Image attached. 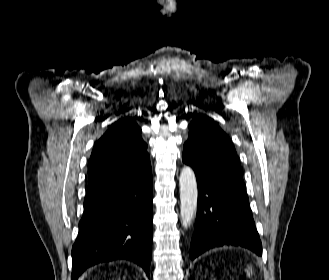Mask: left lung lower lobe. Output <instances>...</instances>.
<instances>
[{"label":"left lung lower lobe","instance_id":"left-lung-lower-lobe-1","mask_svg":"<svg viewBox=\"0 0 329 280\" xmlns=\"http://www.w3.org/2000/svg\"><path fill=\"white\" fill-rule=\"evenodd\" d=\"M197 178V177H196ZM222 185H206L197 178L198 205L190 258L217 247H243L262 255V244L249 206L242 173H225Z\"/></svg>","mask_w":329,"mask_h":280}]
</instances>
